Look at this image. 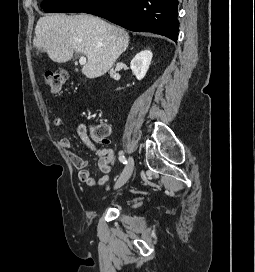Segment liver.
<instances>
[{"instance_id":"6515ba94","label":"liver","mask_w":255,"mask_h":272,"mask_svg":"<svg viewBox=\"0 0 255 272\" xmlns=\"http://www.w3.org/2000/svg\"><path fill=\"white\" fill-rule=\"evenodd\" d=\"M33 43L57 63L69 61L74 50L84 54L88 61L82 73L93 79L104 75L127 49L129 35L93 15L55 14L38 20Z\"/></svg>"}]
</instances>
